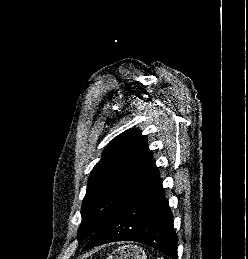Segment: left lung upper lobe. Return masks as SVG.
<instances>
[{
  "label": "left lung upper lobe",
  "instance_id": "1",
  "mask_svg": "<svg viewBox=\"0 0 248 259\" xmlns=\"http://www.w3.org/2000/svg\"><path fill=\"white\" fill-rule=\"evenodd\" d=\"M162 182L146 136L127 130L114 138L89 176L78 239L92 237L119 212Z\"/></svg>",
  "mask_w": 248,
  "mask_h": 259
}]
</instances>
